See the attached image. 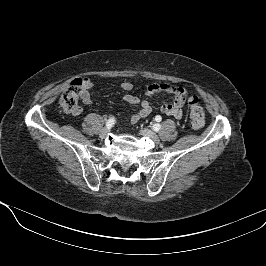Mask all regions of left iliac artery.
<instances>
[{
    "label": "left iliac artery",
    "instance_id": "1",
    "mask_svg": "<svg viewBox=\"0 0 266 266\" xmlns=\"http://www.w3.org/2000/svg\"><path fill=\"white\" fill-rule=\"evenodd\" d=\"M155 120L158 121V122L161 121V116L157 115L155 117ZM160 128H161V125L159 123L153 125V130L154 131H159Z\"/></svg>",
    "mask_w": 266,
    "mask_h": 266
}]
</instances>
